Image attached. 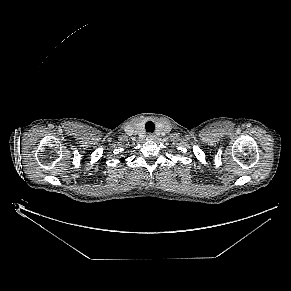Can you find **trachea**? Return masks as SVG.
<instances>
[{"mask_svg":"<svg viewBox=\"0 0 291 291\" xmlns=\"http://www.w3.org/2000/svg\"><path fill=\"white\" fill-rule=\"evenodd\" d=\"M145 128L147 132L153 133L155 130V125L152 121H148L145 125Z\"/></svg>","mask_w":291,"mask_h":291,"instance_id":"trachea-1","label":"trachea"}]
</instances>
